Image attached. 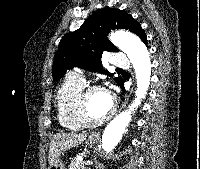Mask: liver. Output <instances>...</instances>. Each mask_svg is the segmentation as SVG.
<instances>
[{
  "label": "liver",
  "instance_id": "6515ba94",
  "mask_svg": "<svg viewBox=\"0 0 200 169\" xmlns=\"http://www.w3.org/2000/svg\"><path fill=\"white\" fill-rule=\"evenodd\" d=\"M87 138L86 133H57L53 136L50 147L48 162L52 166L66 150L78 146Z\"/></svg>",
  "mask_w": 200,
  "mask_h": 169
}]
</instances>
